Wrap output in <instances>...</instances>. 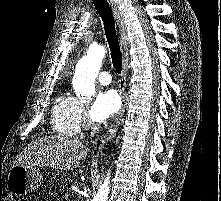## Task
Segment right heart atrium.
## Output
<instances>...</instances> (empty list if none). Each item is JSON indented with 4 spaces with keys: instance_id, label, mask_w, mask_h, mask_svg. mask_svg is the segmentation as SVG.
<instances>
[{
    "instance_id": "obj_1",
    "label": "right heart atrium",
    "mask_w": 221,
    "mask_h": 201,
    "mask_svg": "<svg viewBox=\"0 0 221 201\" xmlns=\"http://www.w3.org/2000/svg\"><path fill=\"white\" fill-rule=\"evenodd\" d=\"M80 113H81V117L84 116V109H83L82 105H81V108H80Z\"/></svg>"
}]
</instances>
